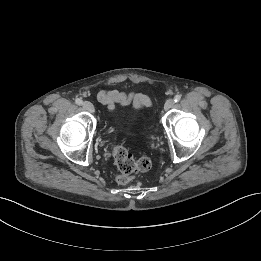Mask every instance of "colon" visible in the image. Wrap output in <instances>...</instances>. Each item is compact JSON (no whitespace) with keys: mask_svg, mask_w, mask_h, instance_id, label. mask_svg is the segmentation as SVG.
<instances>
[{"mask_svg":"<svg viewBox=\"0 0 261 261\" xmlns=\"http://www.w3.org/2000/svg\"><path fill=\"white\" fill-rule=\"evenodd\" d=\"M115 164L119 170L116 181L119 184H127L131 180V175L137 172H146L151 168V161L142 157L135 159L122 146H116L113 151Z\"/></svg>","mask_w":261,"mask_h":261,"instance_id":"colon-1","label":"colon"}]
</instances>
